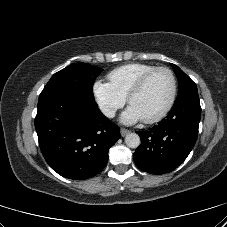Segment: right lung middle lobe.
Returning <instances> with one entry per match:
<instances>
[{"mask_svg": "<svg viewBox=\"0 0 227 227\" xmlns=\"http://www.w3.org/2000/svg\"><path fill=\"white\" fill-rule=\"evenodd\" d=\"M102 69L86 63H74L55 73L44 87L47 91L58 87H69L94 99L93 84Z\"/></svg>", "mask_w": 227, "mask_h": 227, "instance_id": "1", "label": "right lung middle lobe"}]
</instances>
